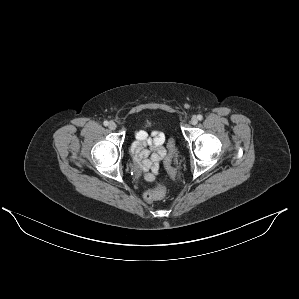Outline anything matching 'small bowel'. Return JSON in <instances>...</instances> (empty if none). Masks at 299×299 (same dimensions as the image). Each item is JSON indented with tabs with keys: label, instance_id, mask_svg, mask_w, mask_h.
<instances>
[{
	"label": "small bowel",
	"instance_id": "c3829d8e",
	"mask_svg": "<svg viewBox=\"0 0 299 299\" xmlns=\"http://www.w3.org/2000/svg\"><path fill=\"white\" fill-rule=\"evenodd\" d=\"M136 140L132 144L131 153L134 162L148 181H153L160 169V164L166 151L163 147L164 135L162 132L146 130L136 132Z\"/></svg>",
	"mask_w": 299,
	"mask_h": 299
}]
</instances>
